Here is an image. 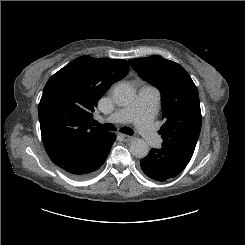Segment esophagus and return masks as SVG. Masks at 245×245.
Segmentation results:
<instances>
[{"label": "esophagus", "instance_id": "esophagus-1", "mask_svg": "<svg viewBox=\"0 0 245 245\" xmlns=\"http://www.w3.org/2000/svg\"><path fill=\"white\" fill-rule=\"evenodd\" d=\"M118 136H120L124 141H128L132 138L131 136L123 133H118Z\"/></svg>", "mask_w": 245, "mask_h": 245}]
</instances>
